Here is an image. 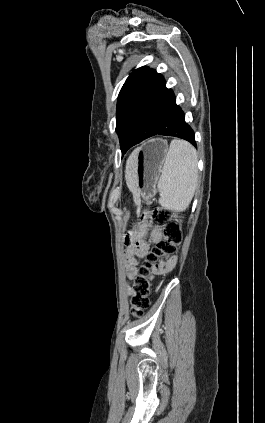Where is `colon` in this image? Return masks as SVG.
I'll return each instance as SVG.
<instances>
[{"label":"colon","mask_w":265,"mask_h":423,"mask_svg":"<svg viewBox=\"0 0 265 423\" xmlns=\"http://www.w3.org/2000/svg\"><path fill=\"white\" fill-rule=\"evenodd\" d=\"M148 226L162 229L163 236L147 252L145 263L140 267L138 275L132 281L130 300L132 314L135 317H141L150 305L148 275L151 266L162 257L174 254L182 241L179 221L173 218L169 210L156 208L144 214L142 224L134 232L125 235V243L128 248L139 244V240L145 234Z\"/></svg>","instance_id":"colon-1"}]
</instances>
